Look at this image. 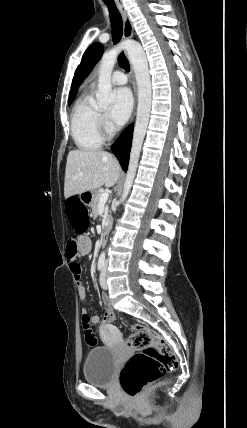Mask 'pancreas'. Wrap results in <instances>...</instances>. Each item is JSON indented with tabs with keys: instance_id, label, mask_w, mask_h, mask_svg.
Here are the masks:
<instances>
[{
	"instance_id": "pancreas-1",
	"label": "pancreas",
	"mask_w": 247,
	"mask_h": 428,
	"mask_svg": "<svg viewBox=\"0 0 247 428\" xmlns=\"http://www.w3.org/2000/svg\"><path fill=\"white\" fill-rule=\"evenodd\" d=\"M102 193H103V191H101V190H96L95 191L93 203L91 205L92 211H93L94 215H97L98 205H99V202H100V196H101Z\"/></svg>"
}]
</instances>
